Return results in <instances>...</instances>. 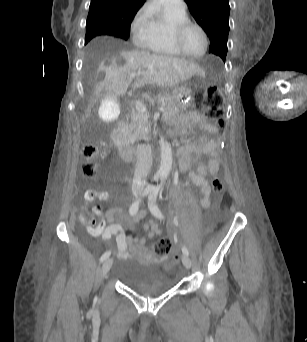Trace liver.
Here are the masks:
<instances>
[{
  "instance_id": "obj_1",
  "label": "liver",
  "mask_w": 307,
  "mask_h": 342,
  "mask_svg": "<svg viewBox=\"0 0 307 342\" xmlns=\"http://www.w3.org/2000/svg\"><path fill=\"white\" fill-rule=\"evenodd\" d=\"M133 88H142L146 84H155L163 88H174L184 80L199 72L198 64L187 62L183 58H173L151 52H133L132 50H112L111 56H102L96 74H105L100 88L109 90L111 96H125L132 80L129 74H140Z\"/></svg>"
}]
</instances>
